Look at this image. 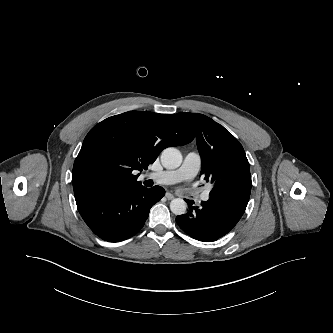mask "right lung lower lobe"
Returning a JSON list of instances; mask_svg holds the SVG:
<instances>
[{
	"label": "right lung lower lobe",
	"instance_id": "obj_1",
	"mask_svg": "<svg viewBox=\"0 0 333 333\" xmlns=\"http://www.w3.org/2000/svg\"><path fill=\"white\" fill-rule=\"evenodd\" d=\"M164 194L159 186L128 191L94 188L76 194L75 200L80 215L97 236L119 242L140 231L151 207Z\"/></svg>",
	"mask_w": 333,
	"mask_h": 333
}]
</instances>
